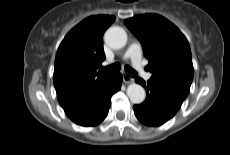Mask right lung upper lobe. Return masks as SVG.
I'll list each match as a JSON object with an SVG mask.
<instances>
[{
  "instance_id": "1",
  "label": "right lung upper lobe",
  "mask_w": 230,
  "mask_h": 155,
  "mask_svg": "<svg viewBox=\"0 0 230 155\" xmlns=\"http://www.w3.org/2000/svg\"><path fill=\"white\" fill-rule=\"evenodd\" d=\"M114 20L109 15L90 16L71 29L61 42L53 81L62 108L87 99L115 75L97 70L105 59L103 34Z\"/></svg>"
}]
</instances>
